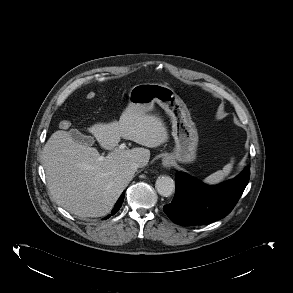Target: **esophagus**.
I'll use <instances>...</instances> for the list:
<instances>
[{"instance_id": "34e87169", "label": "esophagus", "mask_w": 293, "mask_h": 293, "mask_svg": "<svg viewBox=\"0 0 293 293\" xmlns=\"http://www.w3.org/2000/svg\"><path fill=\"white\" fill-rule=\"evenodd\" d=\"M171 164H172V160H171L170 157H168V156L163 157V159H162V165L165 168H169L171 166Z\"/></svg>"}]
</instances>
